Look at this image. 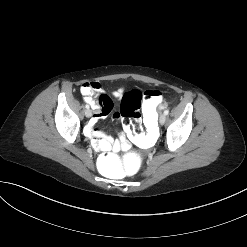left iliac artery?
Listing matches in <instances>:
<instances>
[{"mask_svg": "<svg viewBox=\"0 0 247 247\" xmlns=\"http://www.w3.org/2000/svg\"><path fill=\"white\" fill-rule=\"evenodd\" d=\"M164 114H165V115H168V114H169V110H165V111H164Z\"/></svg>", "mask_w": 247, "mask_h": 247, "instance_id": "left-iliac-artery-1", "label": "left iliac artery"}]
</instances>
